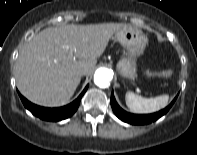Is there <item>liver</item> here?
<instances>
[{
    "mask_svg": "<svg viewBox=\"0 0 197 155\" xmlns=\"http://www.w3.org/2000/svg\"><path fill=\"white\" fill-rule=\"evenodd\" d=\"M125 26L71 24L42 30L20 51L16 65L19 91L41 106L65 104L80 83L78 72L84 69L90 75L110 38Z\"/></svg>",
    "mask_w": 197,
    "mask_h": 155,
    "instance_id": "liver-1",
    "label": "liver"
}]
</instances>
